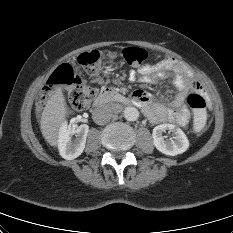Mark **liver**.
<instances>
[{"label": "liver", "mask_w": 233, "mask_h": 233, "mask_svg": "<svg viewBox=\"0 0 233 233\" xmlns=\"http://www.w3.org/2000/svg\"><path fill=\"white\" fill-rule=\"evenodd\" d=\"M68 113L65 96L61 88L47 101L41 116V132L45 140L51 146H57L59 141V130L64 123Z\"/></svg>", "instance_id": "obj_1"}]
</instances>
